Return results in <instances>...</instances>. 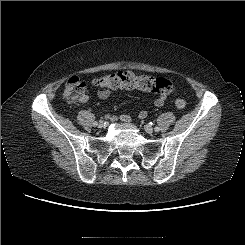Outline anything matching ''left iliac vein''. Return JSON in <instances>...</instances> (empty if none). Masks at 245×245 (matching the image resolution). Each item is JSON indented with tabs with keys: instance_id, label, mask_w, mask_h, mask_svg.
<instances>
[{
	"instance_id": "obj_1",
	"label": "left iliac vein",
	"mask_w": 245,
	"mask_h": 245,
	"mask_svg": "<svg viewBox=\"0 0 245 245\" xmlns=\"http://www.w3.org/2000/svg\"><path fill=\"white\" fill-rule=\"evenodd\" d=\"M144 129L149 134H152L154 132V129L150 125H145Z\"/></svg>"
}]
</instances>
